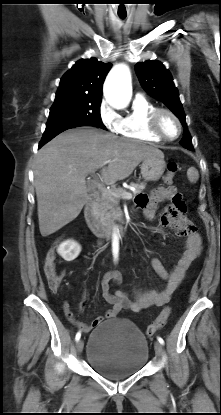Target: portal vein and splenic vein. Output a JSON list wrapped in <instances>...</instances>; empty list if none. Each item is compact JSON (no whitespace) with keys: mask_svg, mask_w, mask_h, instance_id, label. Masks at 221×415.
Wrapping results in <instances>:
<instances>
[{"mask_svg":"<svg viewBox=\"0 0 221 415\" xmlns=\"http://www.w3.org/2000/svg\"><path fill=\"white\" fill-rule=\"evenodd\" d=\"M111 160H107L105 161L102 165H100V167H102L103 165L106 164H110ZM97 188L99 190H101L102 192H107L109 191L113 196L118 197V198H124V199H131L132 198V194L130 192L127 191H122V192H111L110 190H107L105 187H103L101 184H97Z\"/></svg>","mask_w":221,"mask_h":415,"instance_id":"portal-vein-and-splenic-vein-1","label":"portal vein and splenic vein"}]
</instances>
